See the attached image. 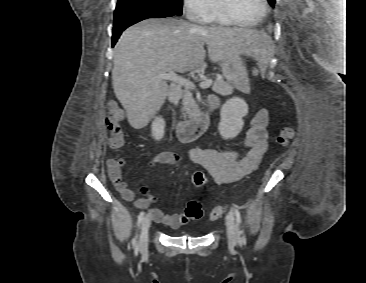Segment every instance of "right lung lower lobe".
<instances>
[{"mask_svg":"<svg viewBox=\"0 0 366 283\" xmlns=\"http://www.w3.org/2000/svg\"><path fill=\"white\" fill-rule=\"evenodd\" d=\"M174 16L168 12H165L159 8L144 7L140 9H121L115 11L113 35H112V47L120 37L121 33L129 26L148 18H164Z\"/></svg>","mask_w":366,"mask_h":283,"instance_id":"obj_1","label":"right lung lower lobe"}]
</instances>
